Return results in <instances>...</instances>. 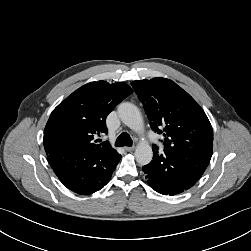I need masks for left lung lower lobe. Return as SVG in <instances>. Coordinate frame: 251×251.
Listing matches in <instances>:
<instances>
[{
  "label": "left lung lower lobe",
  "instance_id": "left-lung-lower-lobe-1",
  "mask_svg": "<svg viewBox=\"0 0 251 251\" xmlns=\"http://www.w3.org/2000/svg\"><path fill=\"white\" fill-rule=\"evenodd\" d=\"M211 158L153 148V160L142 170L147 183L158 193L175 195L191 188L202 176Z\"/></svg>",
  "mask_w": 251,
  "mask_h": 251
}]
</instances>
